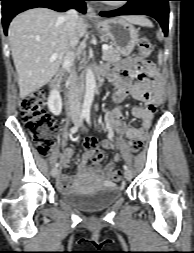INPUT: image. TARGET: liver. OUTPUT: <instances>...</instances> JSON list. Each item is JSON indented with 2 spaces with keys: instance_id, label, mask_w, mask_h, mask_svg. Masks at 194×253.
Masks as SVG:
<instances>
[{
  "instance_id": "6515ba94",
  "label": "liver",
  "mask_w": 194,
  "mask_h": 253,
  "mask_svg": "<svg viewBox=\"0 0 194 253\" xmlns=\"http://www.w3.org/2000/svg\"><path fill=\"white\" fill-rule=\"evenodd\" d=\"M124 19L132 24L151 26V22L144 16L131 15ZM87 27L85 19L78 17V39L86 36ZM8 38L21 98L35 92L53 78L72 46L63 15L48 8H35L17 15L10 23ZM54 53L56 59L50 61Z\"/></svg>"
}]
</instances>
